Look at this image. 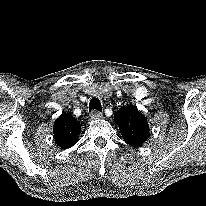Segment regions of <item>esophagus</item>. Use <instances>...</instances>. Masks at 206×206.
Returning a JSON list of instances; mask_svg holds the SVG:
<instances>
[{"label":"esophagus","instance_id":"obj_1","mask_svg":"<svg viewBox=\"0 0 206 206\" xmlns=\"http://www.w3.org/2000/svg\"><path fill=\"white\" fill-rule=\"evenodd\" d=\"M103 115L101 112H98V111H93L91 114H90V117L92 119H99L101 118Z\"/></svg>","mask_w":206,"mask_h":206}]
</instances>
